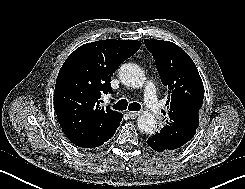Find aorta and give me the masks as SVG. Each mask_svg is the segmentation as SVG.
<instances>
[{"label": "aorta", "mask_w": 245, "mask_h": 189, "mask_svg": "<svg viewBox=\"0 0 245 189\" xmlns=\"http://www.w3.org/2000/svg\"><path fill=\"white\" fill-rule=\"evenodd\" d=\"M121 82L131 88L143 86L145 76L142 69L135 63H125L118 71ZM156 126L155 117L150 112H144L137 119V128L142 133H152Z\"/></svg>", "instance_id": "762f6f07"}]
</instances>
